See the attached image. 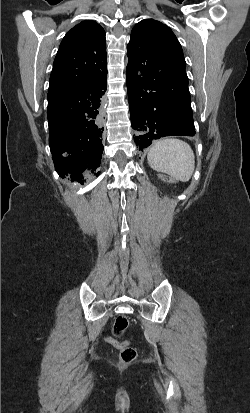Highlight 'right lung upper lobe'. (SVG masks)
I'll return each instance as SVG.
<instances>
[{
    "instance_id": "1",
    "label": "right lung upper lobe",
    "mask_w": 250,
    "mask_h": 413,
    "mask_svg": "<svg viewBox=\"0 0 250 413\" xmlns=\"http://www.w3.org/2000/svg\"><path fill=\"white\" fill-rule=\"evenodd\" d=\"M107 70L104 29L83 21L63 38L54 60L48 92L93 80Z\"/></svg>"
}]
</instances>
